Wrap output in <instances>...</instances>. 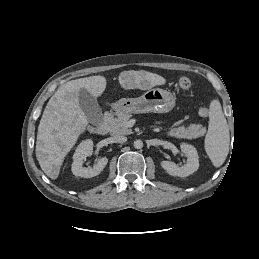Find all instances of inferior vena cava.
I'll use <instances>...</instances> for the list:
<instances>
[{
    "label": "inferior vena cava",
    "mask_w": 259,
    "mask_h": 259,
    "mask_svg": "<svg viewBox=\"0 0 259 259\" xmlns=\"http://www.w3.org/2000/svg\"><path fill=\"white\" fill-rule=\"evenodd\" d=\"M113 140L115 143H125L127 141V137L122 136V135L121 136L116 135V136H114Z\"/></svg>",
    "instance_id": "obj_1"
}]
</instances>
